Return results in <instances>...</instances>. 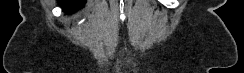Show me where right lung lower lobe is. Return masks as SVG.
<instances>
[{
	"instance_id": "obj_1",
	"label": "right lung lower lobe",
	"mask_w": 244,
	"mask_h": 73,
	"mask_svg": "<svg viewBox=\"0 0 244 73\" xmlns=\"http://www.w3.org/2000/svg\"><path fill=\"white\" fill-rule=\"evenodd\" d=\"M59 2L64 11L70 13L81 8L85 4L86 0H60Z\"/></svg>"
}]
</instances>
